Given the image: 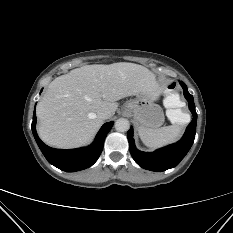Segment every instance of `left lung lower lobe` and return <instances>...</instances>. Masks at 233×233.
Listing matches in <instances>:
<instances>
[{"label":"left lung lower lobe","instance_id":"left-lung-lower-lobe-1","mask_svg":"<svg viewBox=\"0 0 233 233\" xmlns=\"http://www.w3.org/2000/svg\"><path fill=\"white\" fill-rule=\"evenodd\" d=\"M184 96L189 102V109L193 114V119L188 125L184 136L175 144L158 149L155 152L139 151L134 144L133 128L128 131L129 149L135 162L144 169L151 171H165L177 166L190 150L196 134L197 113L195 110L193 96L188 92L187 86L181 82Z\"/></svg>","mask_w":233,"mask_h":233}]
</instances>
